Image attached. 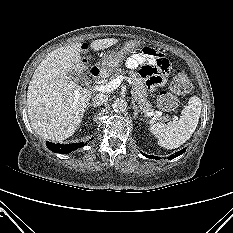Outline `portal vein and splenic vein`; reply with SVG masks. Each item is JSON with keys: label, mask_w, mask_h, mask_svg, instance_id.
<instances>
[{"label": "portal vein and splenic vein", "mask_w": 233, "mask_h": 233, "mask_svg": "<svg viewBox=\"0 0 233 233\" xmlns=\"http://www.w3.org/2000/svg\"><path fill=\"white\" fill-rule=\"evenodd\" d=\"M124 76L119 75L118 77H116L115 79L111 80L109 83L105 84V85H95L93 87V89L95 91H99V92H111L113 90H115L116 88H118L121 84V82L124 80ZM147 116L151 117H159L162 116L163 113L161 111H147L145 112ZM175 119L177 118L176 116L174 117Z\"/></svg>", "instance_id": "1"}]
</instances>
